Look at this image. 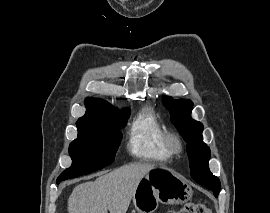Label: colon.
<instances>
[{"label":"colon","instance_id":"5ec220e1","mask_svg":"<svg viewBox=\"0 0 270 213\" xmlns=\"http://www.w3.org/2000/svg\"><path fill=\"white\" fill-rule=\"evenodd\" d=\"M166 213H211V210L205 203H187L178 211H168Z\"/></svg>","mask_w":270,"mask_h":213}]
</instances>
